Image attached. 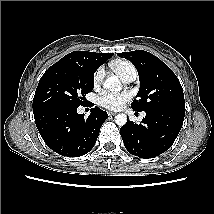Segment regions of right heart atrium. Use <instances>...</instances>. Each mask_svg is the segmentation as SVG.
I'll return each instance as SVG.
<instances>
[{"mask_svg": "<svg viewBox=\"0 0 214 214\" xmlns=\"http://www.w3.org/2000/svg\"><path fill=\"white\" fill-rule=\"evenodd\" d=\"M104 76V70L102 67L98 68L93 75V84L94 86L100 85Z\"/></svg>", "mask_w": 214, "mask_h": 214, "instance_id": "1", "label": "right heart atrium"}]
</instances>
